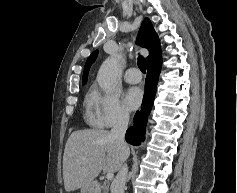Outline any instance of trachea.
<instances>
[{
  "instance_id": "1",
  "label": "trachea",
  "mask_w": 237,
  "mask_h": 193,
  "mask_svg": "<svg viewBox=\"0 0 237 193\" xmlns=\"http://www.w3.org/2000/svg\"><path fill=\"white\" fill-rule=\"evenodd\" d=\"M137 64H138L139 69H140L143 73H145V72H146V63H145V59H144L142 56H139V57H138V62H137Z\"/></svg>"
}]
</instances>
